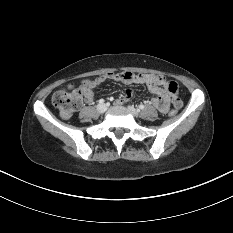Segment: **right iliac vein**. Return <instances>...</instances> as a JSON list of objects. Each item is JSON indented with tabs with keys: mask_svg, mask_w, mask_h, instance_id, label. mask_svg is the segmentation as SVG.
I'll list each match as a JSON object with an SVG mask.
<instances>
[{
	"mask_svg": "<svg viewBox=\"0 0 233 233\" xmlns=\"http://www.w3.org/2000/svg\"><path fill=\"white\" fill-rule=\"evenodd\" d=\"M97 110H98V112H100V113H104V112L107 110V106H106L105 104H99V105L97 106Z\"/></svg>",
	"mask_w": 233,
	"mask_h": 233,
	"instance_id": "63e3f726",
	"label": "right iliac vein"
}]
</instances>
